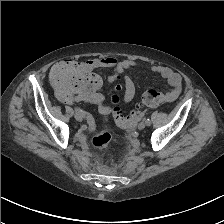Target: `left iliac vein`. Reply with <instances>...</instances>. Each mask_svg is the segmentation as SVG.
Returning a JSON list of instances; mask_svg holds the SVG:
<instances>
[{
  "label": "left iliac vein",
  "instance_id": "4c4485c4",
  "mask_svg": "<svg viewBox=\"0 0 224 224\" xmlns=\"http://www.w3.org/2000/svg\"><path fill=\"white\" fill-rule=\"evenodd\" d=\"M145 126H146V123L144 121H142L138 124V129L143 130L145 128Z\"/></svg>",
  "mask_w": 224,
  "mask_h": 224
}]
</instances>
